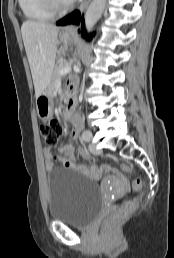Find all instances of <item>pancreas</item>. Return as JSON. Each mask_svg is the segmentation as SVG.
<instances>
[{"mask_svg":"<svg viewBox=\"0 0 174 258\" xmlns=\"http://www.w3.org/2000/svg\"><path fill=\"white\" fill-rule=\"evenodd\" d=\"M68 64V62L66 61H63V60H60L56 63L55 65V68H54V71H53V75H52V83H51V93H52V89L53 91L55 92L54 90V84L56 83L57 80L61 79L62 75L59 74V71L66 67Z\"/></svg>","mask_w":174,"mask_h":258,"instance_id":"pancreas-1","label":"pancreas"}]
</instances>
